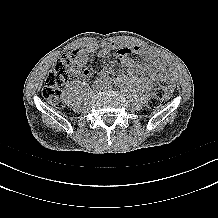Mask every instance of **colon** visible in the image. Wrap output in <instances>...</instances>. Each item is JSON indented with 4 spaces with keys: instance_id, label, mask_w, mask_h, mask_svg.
I'll return each instance as SVG.
<instances>
[{
    "instance_id": "1",
    "label": "colon",
    "mask_w": 218,
    "mask_h": 218,
    "mask_svg": "<svg viewBox=\"0 0 218 218\" xmlns=\"http://www.w3.org/2000/svg\"><path fill=\"white\" fill-rule=\"evenodd\" d=\"M76 52L73 51L69 55L60 58L51 71L49 72L42 94L44 98L52 105H60L61 103V87L67 82L71 74V67ZM170 80L165 69L162 70L159 85L147 102L150 110H155L162 106L169 94Z\"/></svg>"
}]
</instances>
